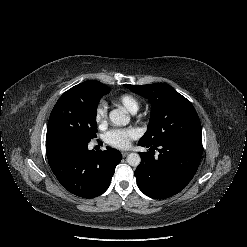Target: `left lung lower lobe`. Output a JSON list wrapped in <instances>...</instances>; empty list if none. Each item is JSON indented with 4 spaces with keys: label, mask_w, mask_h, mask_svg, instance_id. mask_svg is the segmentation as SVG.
<instances>
[{
    "label": "left lung lower lobe",
    "mask_w": 247,
    "mask_h": 247,
    "mask_svg": "<svg viewBox=\"0 0 247 247\" xmlns=\"http://www.w3.org/2000/svg\"><path fill=\"white\" fill-rule=\"evenodd\" d=\"M140 146L149 152H139L141 162L134 174L139 189L154 199L169 198L183 190L195 175L202 157L201 143L178 141Z\"/></svg>",
    "instance_id": "0a47b994"
}]
</instances>
